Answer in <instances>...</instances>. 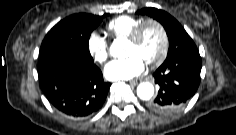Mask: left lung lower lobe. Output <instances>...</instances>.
<instances>
[{
    "mask_svg": "<svg viewBox=\"0 0 236 135\" xmlns=\"http://www.w3.org/2000/svg\"><path fill=\"white\" fill-rule=\"evenodd\" d=\"M202 60L198 49L167 59L153 74L159 85L151 110L170 114L184 106L196 93L200 84Z\"/></svg>",
    "mask_w": 236,
    "mask_h": 135,
    "instance_id": "1",
    "label": "left lung lower lobe"
}]
</instances>
